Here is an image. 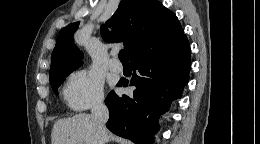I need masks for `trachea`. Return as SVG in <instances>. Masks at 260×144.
<instances>
[{
  "label": "trachea",
  "instance_id": "trachea-1",
  "mask_svg": "<svg viewBox=\"0 0 260 144\" xmlns=\"http://www.w3.org/2000/svg\"><path fill=\"white\" fill-rule=\"evenodd\" d=\"M119 59L122 63H129L128 57L126 55L125 50H120L119 52Z\"/></svg>",
  "mask_w": 260,
  "mask_h": 144
}]
</instances>
